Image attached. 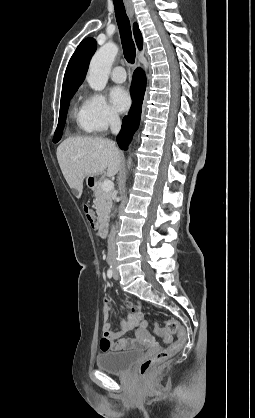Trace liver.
<instances>
[{
    "label": "liver",
    "mask_w": 255,
    "mask_h": 418,
    "mask_svg": "<svg viewBox=\"0 0 255 418\" xmlns=\"http://www.w3.org/2000/svg\"><path fill=\"white\" fill-rule=\"evenodd\" d=\"M57 159L69 187L82 195L83 181L107 170L115 176L121 165V154L115 142L102 137H70L57 148Z\"/></svg>",
    "instance_id": "1"
}]
</instances>
